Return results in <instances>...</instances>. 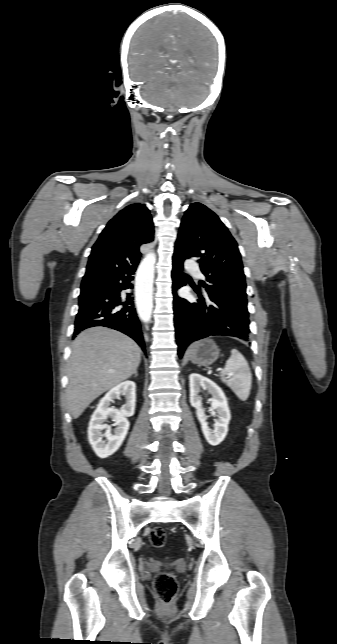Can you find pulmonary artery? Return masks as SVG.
Returning <instances> with one entry per match:
<instances>
[{"mask_svg": "<svg viewBox=\"0 0 337 644\" xmlns=\"http://www.w3.org/2000/svg\"><path fill=\"white\" fill-rule=\"evenodd\" d=\"M185 267L188 271L195 273L198 277H202L198 265L193 260H187Z\"/></svg>", "mask_w": 337, "mask_h": 644, "instance_id": "obj_1", "label": "pulmonary artery"}]
</instances>
